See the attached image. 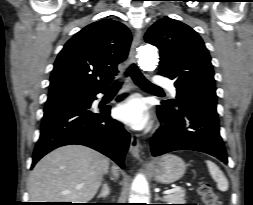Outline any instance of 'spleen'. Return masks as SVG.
Segmentation results:
<instances>
[{"mask_svg": "<svg viewBox=\"0 0 253 205\" xmlns=\"http://www.w3.org/2000/svg\"><path fill=\"white\" fill-rule=\"evenodd\" d=\"M205 162L210 172V175L217 183L218 189L220 191H227L229 187L228 180L226 176L223 174V172L220 170V168L210 160H206Z\"/></svg>", "mask_w": 253, "mask_h": 205, "instance_id": "3e777b00", "label": "spleen"}]
</instances>
